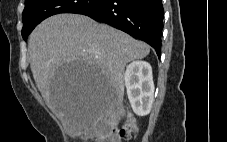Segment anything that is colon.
I'll use <instances>...</instances> for the list:
<instances>
[{"mask_svg":"<svg viewBox=\"0 0 227 142\" xmlns=\"http://www.w3.org/2000/svg\"><path fill=\"white\" fill-rule=\"evenodd\" d=\"M137 129L133 118H126L120 127L109 124L103 128L97 142H121L122 139L131 136Z\"/></svg>","mask_w":227,"mask_h":142,"instance_id":"obj_1","label":"colon"}]
</instances>
